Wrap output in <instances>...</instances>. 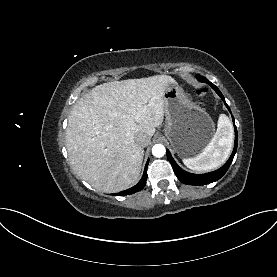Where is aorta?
<instances>
[{"instance_id":"aorta-1","label":"aorta","mask_w":277,"mask_h":277,"mask_svg":"<svg viewBox=\"0 0 277 277\" xmlns=\"http://www.w3.org/2000/svg\"><path fill=\"white\" fill-rule=\"evenodd\" d=\"M166 149L162 144H155L152 148V154L155 157H162L165 155Z\"/></svg>"}]
</instances>
